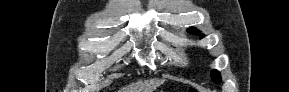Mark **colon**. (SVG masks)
<instances>
[{"mask_svg": "<svg viewBox=\"0 0 289 92\" xmlns=\"http://www.w3.org/2000/svg\"><path fill=\"white\" fill-rule=\"evenodd\" d=\"M188 92H197V90L195 88H189Z\"/></svg>", "mask_w": 289, "mask_h": 92, "instance_id": "1", "label": "colon"}]
</instances>
